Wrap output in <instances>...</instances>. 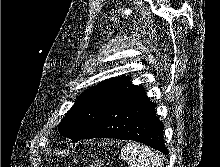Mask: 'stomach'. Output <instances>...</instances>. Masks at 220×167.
I'll return each instance as SVG.
<instances>
[{"instance_id": "1", "label": "stomach", "mask_w": 220, "mask_h": 167, "mask_svg": "<svg viewBox=\"0 0 220 167\" xmlns=\"http://www.w3.org/2000/svg\"><path fill=\"white\" fill-rule=\"evenodd\" d=\"M102 165H103V163H101V162H97V163H96V166H97V167H102ZM89 167H94V166H93V164H92V165H90Z\"/></svg>"}]
</instances>
